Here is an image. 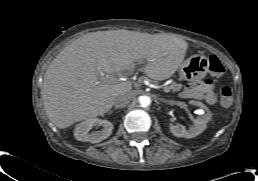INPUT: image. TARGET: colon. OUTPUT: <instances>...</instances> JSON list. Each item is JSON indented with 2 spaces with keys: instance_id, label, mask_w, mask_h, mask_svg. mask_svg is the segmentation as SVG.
<instances>
[{
  "instance_id": "obj_1",
  "label": "colon",
  "mask_w": 258,
  "mask_h": 181,
  "mask_svg": "<svg viewBox=\"0 0 258 181\" xmlns=\"http://www.w3.org/2000/svg\"><path fill=\"white\" fill-rule=\"evenodd\" d=\"M209 70L217 77L223 75L225 69L221 61L216 56H211L209 58ZM233 96L232 90L229 87H223L221 89V104L224 107H229L232 104Z\"/></svg>"
}]
</instances>
